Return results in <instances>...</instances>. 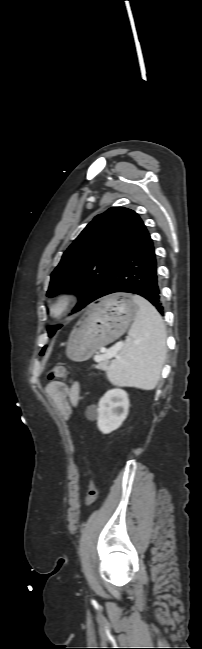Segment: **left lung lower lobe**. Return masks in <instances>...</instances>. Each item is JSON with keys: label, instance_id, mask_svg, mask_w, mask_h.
<instances>
[{"label": "left lung lower lobe", "instance_id": "1", "mask_svg": "<svg viewBox=\"0 0 202 649\" xmlns=\"http://www.w3.org/2000/svg\"><path fill=\"white\" fill-rule=\"evenodd\" d=\"M116 292L141 295L149 300L162 316L164 315L153 241L144 224L106 277V282L96 299ZM45 349L46 347L41 353H44Z\"/></svg>", "mask_w": 202, "mask_h": 649}]
</instances>
